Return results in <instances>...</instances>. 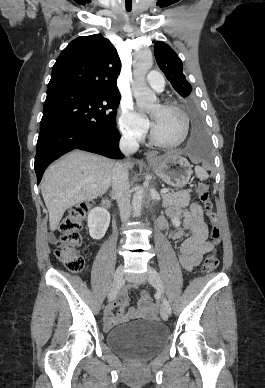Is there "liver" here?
I'll list each match as a JSON object with an SVG mask.
<instances>
[{
    "label": "liver",
    "instance_id": "6515ba94",
    "mask_svg": "<svg viewBox=\"0 0 265 388\" xmlns=\"http://www.w3.org/2000/svg\"><path fill=\"white\" fill-rule=\"evenodd\" d=\"M115 166L114 160L73 150L47 168L41 192L49 212L51 232L57 230L68 208L91 202L109 190ZM133 166V162H128V168Z\"/></svg>",
    "mask_w": 265,
    "mask_h": 388
}]
</instances>
